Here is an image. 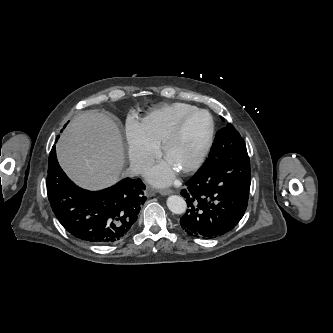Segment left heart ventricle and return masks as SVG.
Here are the masks:
<instances>
[{"mask_svg":"<svg viewBox=\"0 0 333 333\" xmlns=\"http://www.w3.org/2000/svg\"><path fill=\"white\" fill-rule=\"evenodd\" d=\"M209 129V118L204 113L192 116L186 123L180 140L172 147L167 162L179 170L191 163L198 154Z\"/></svg>","mask_w":333,"mask_h":333,"instance_id":"b2bd125f","label":"left heart ventricle"}]
</instances>
